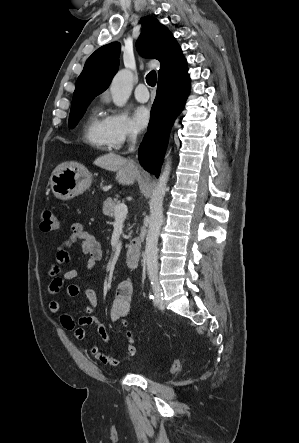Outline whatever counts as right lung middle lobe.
<instances>
[{
    "label": "right lung middle lobe",
    "instance_id": "dd1d6c3e",
    "mask_svg": "<svg viewBox=\"0 0 299 443\" xmlns=\"http://www.w3.org/2000/svg\"><path fill=\"white\" fill-rule=\"evenodd\" d=\"M91 101L79 104L75 107L71 108L70 116H69V126L70 128H74L78 121L81 119L84 111Z\"/></svg>",
    "mask_w": 299,
    "mask_h": 443
}]
</instances>
